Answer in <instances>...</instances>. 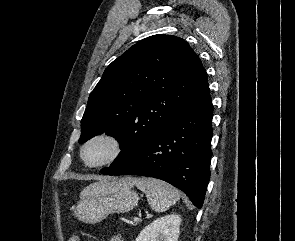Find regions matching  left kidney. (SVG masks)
Returning <instances> with one entry per match:
<instances>
[{"mask_svg": "<svg viewBox=\"0 0 295 241\" xmlns=\"http://www.w3.org/2000/svg\"><path fill=\"white\" fill-rule=\"evenodd\" d=\"M181 221L175 214L158 218L140 232L136 241H178Z\"/></svg>", "mask_w": 295, "mask_h": 241, "instance_id": "obj_1", "label": "left kidney"}]
</instances>
